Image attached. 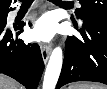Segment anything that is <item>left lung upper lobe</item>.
Instances as JSON below:
<instances>
[{
    "label": "left lung upper lobe",
    "instance_id": "1",
    "mask_svg": "<svg viewBox=\"0 0 107 89\" xmlns=\"http://www.w3.org/2000/svg\"><path fill=\"white\" fill-rule=\"evenodd\" d=\"M81 8L77 14L81 19L86 17H107V0H79Z\"/></svg>",
    "mask_w": 107,
    "mask_h": 89
}]
</instances>
